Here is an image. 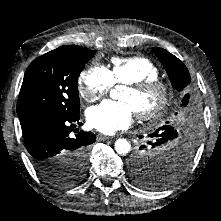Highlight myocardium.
Instances as JSON below:
<instances>
[{"label":"myocardium","instance_id":"myocardium-1","mask_svg":"<svg viewBox=\"0 0 221 221\" xmlns=\"http://www.w3.org/2000/svg\"><path fill=\"white\" fill-rule=\"evenodd\" d=\"M126 88L137 95H143L154 91L159 92L160 102L154 109L145 112H136L137 118L143 121H151L160 118L168 110L172 102L173 92L170 84L158 78L127 84Z\"/></svg>","mask_w":221,"mask_h":221}]
</instances>
